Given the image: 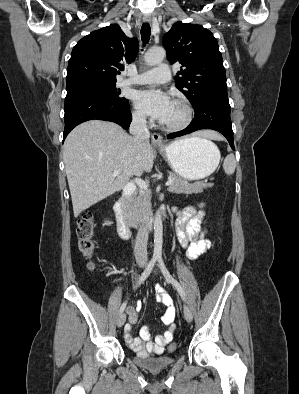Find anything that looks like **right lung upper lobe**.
<instances>
[{
  "mask_svg": "<svg viewBox=\"0 0 299 394\" xmlns=\"http://www.w3.org/2000/svg\"><path fill=\"white\" fill-rule=\"evenodd\" d=\"M139 50L136 38L127 37L117 24L91 32L73 48L67 68V88L87 83L116 82V75Z\"/></svg>",
  "mask_w": 299,
  "mask_h": 394,
  "instance_id": "right-lung-upper-lobe-1",
  "label": "right lung upper lobe"
}]
</instances>
